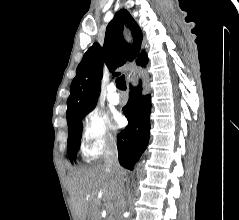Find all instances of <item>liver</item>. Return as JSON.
Instances as JSON below:
<instances>
[{
    "instance_id": "liver-1",
    "label": "liver",
    "mask_w": 239,
    "mask_h": 220,
    "mask_svg": "<svg viewBox=\"0 0 239 220\" xmlns=\"http://www.w3.org/2000/svg\"><path fill=\"white\" fill-rule=\"evenodd\" d=\"M124 181V170L118 174L105 164H97L72 173L69 192L74 212L79 220H101V201L114 204L117 214L124 211L122 194L118 188Z\"/></svg>"
}]
</instances>
